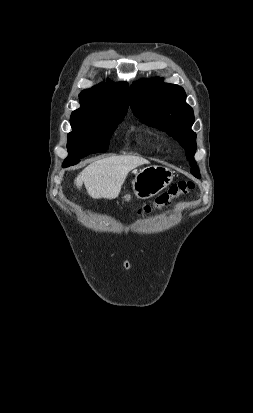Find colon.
<instances>
[{
  "mask_svg": "<svg viewBox=\"0 0 253 413\" xmlns=\"http://www.w3.org/2000/svg\"><path fill=\"white\" fill-rule=\"evenodd\" d=\"M194 183L191 181H179L173 184L166 192L159 195L155 201L144 207H141L137 211V215L151 214L157 210L166 208L172 204V202L181 195H185L192 191Z\"/></svg>",
  "mask_w": 253,
  "mask_h": 413,
  "instance_id": "5ec220e1",
  "label": "colon"
}]
</instances>
